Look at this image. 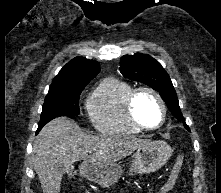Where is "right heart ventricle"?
<instances>
[{
    "instance_id": "e07e8e85",
    "label": "right heart ventricle",
    "mask_w": 221,
    "mask_h": 193,
    "mask_svg": "<svg viewBox=\"0 0 221 193\" xmlns=\"http://www.w3.org/2000/svg\"><path fill=\"white\" fill-rule=\"evenodd\" d=\"M133 86L128 82L106 78L86 101V110L93 126L106 134L137 135L141 132L128 118L126 99Z\"/></svg>"
}]
</instances>
